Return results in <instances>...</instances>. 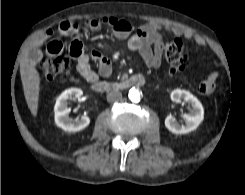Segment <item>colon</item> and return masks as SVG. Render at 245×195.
Returning a JSON list of instances; mask_svg holds the SVG:
<instances>
[{
	"label": "colon",
	"mask_w": 245,
	"mask_h": 195,
	"mask_svg": "<svg viewBox=\"0 0 245 195\" xmlns=\"http://www.w3.org/2000/svg\"><path fill=\"white\" fill-rule=\"evenodd\" d=\"M164 56L173 73L183 71L186 64L184 45L180 39L167 40L162 44ZM70 73V64L67 58L57 56L43 59L41 76L46 81L64 79Z\"/></svg>",
	"instance_id": "5ec220e1"
}]
</instances>
